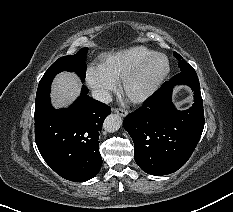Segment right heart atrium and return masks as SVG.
I'll return each mask as SVG.
<instances>
[{"mask_svg":"<svg viewBox=\"0 0 233 212\" xmlns=\"http://www.w3.org/2000/svg\"><path fill=\"white\" fill-rule=\"evenodd\" d=\"M88 87L100 100H107L110 93L117 87V81L114 80L101 65H90L85 75Z\"/></svg>","mask_w":233,"mask_h":212,"instance_id":"obj_1","label":"right heart atrium"}]
</instances>
